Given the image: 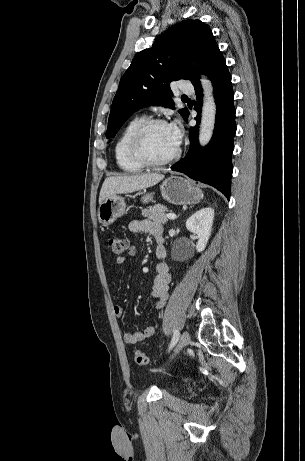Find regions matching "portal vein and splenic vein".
<instances>
[{
  "label": "portal vein and splenic vein",
  "instance_id": "1",
  "mask_svg": "<svg viewBox=\"0 0 305 461\" xmlns=\"http://www.w3.org/2000/svg\"><path fill=\"white\" fill-rule=\"evenodd\" d=\"M166 217H167L168 219H172V220H173V219L176 218V215L173 214V213H169V214L166 215Z\"/></svg>",
  "mask_w": 305,
  "mask_h": 461
}]
</instances>
